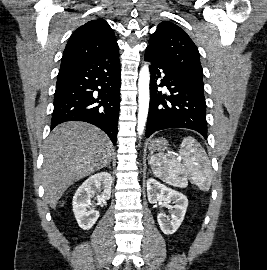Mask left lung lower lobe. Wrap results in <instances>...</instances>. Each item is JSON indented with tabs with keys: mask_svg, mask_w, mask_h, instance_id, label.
I'll list each match as a JSON object with an SVG mask.
<instances>
[{
	"mask_svg": "<svg viewBox=\"0 0 267 270\" xmlns=\"http://www.w3.org/2000/svg\"><path fill=\"white\" fill-rule=\"evenodd\" d=\"M144 59L150 62L151 73L146 137L164 129L187 128L199 132L206 139L204 86L177 73L147 49ZM158 86H166L169 95L159 92Z\"/></svg>",
	"mask_w": 267,
	"mask_h": 270,
	"instance_id": "obj_1",
	"label": "left lung lower lobe"
}]
</instances>
